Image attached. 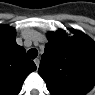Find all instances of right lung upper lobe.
<instances>
[{"instance_id": "right-lung-upper-lobe-1", "label": "right lung upper lobe", "mask_w": 95, "mask_h": 95, "mask_svg": "<svg viewBox=\"0 0 95 95\" xmlns=\"http://www.w3.org/2000/svg\"><path fill=\"white\" fill-rule=\"evenodd\" d=\"M36 70L27 58L25 49L16 44L15 30L0 26V91L3 95H17L29 73Z\"/></svg>"}]
</instances>
